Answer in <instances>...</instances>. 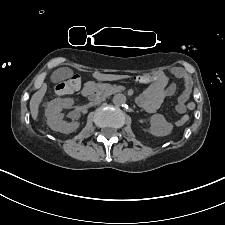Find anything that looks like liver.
<instances>
[{
    "label": "liver",
    "instance_id": "obj_1",
    "mask_svg": "<svg viewBox=\"0 0 225 225\" xmlns=\"http://www.w3.org/2000/svg\"><path fill=\"white\" fill-rule=\"evenodd\" d=\"M93 77L99 81H112L123 78L122 76L112 75V74H101L99 72H95ZM47 91V84L43 83L40 89L35 92L30 99V113L34 120L38 118L39 114V105Z\"/></svg>",
    "mask_w": 225,
    "mask_h": 225
}]
</instances>
